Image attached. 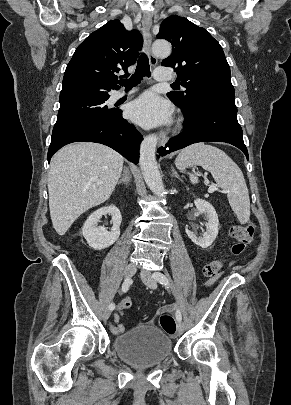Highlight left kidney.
Returning <instances> with one entry per match:
<instances>
[{"mask_svg": "<svg viewBox=\"0 0 291 405\" xmlns=\"http://www.w3.org/2000/svg\"><path fill=\"white\" fill-rule=\"evenodd\" d=\"M194 204L200 213H204L207 217L208 222L206 223V231L200 237L190 231L188 228L185 229L186 234L191 239V241L201 248H208L212 245L213 241L218 235L219 220L218 215L214 207L203 199H196Z\"/></svg>", "mask_w": 291, "mask_h": 405, "instance_id": "5707ae66", "label": "left kidney"}]
</instances>
